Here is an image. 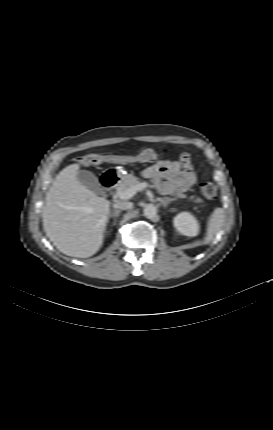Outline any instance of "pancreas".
Masks as SVG:
<instances>
[{"label":"pancreas","mask_w":273,"mask_h":430,"mask_svg":"<svg viewBox=\"0 0 273 430\" xmlns=\"http://www.w3.org/2000/svg\"><path fill=\"white\" fill-rule=\"evenodd\" d=\"M139 183H140V181L137 177L133 176L132 174H127L124 176L122 182L118 185L117 192L125 191L128 188L135 186ZM174 195L178 198H185L186 197V195L182 194V193H176ZM189 199L192 200L194 203H202L203 202V200L200 197H197L195 195L191 196Z\"/></svg>","instance_id":"cf45deb5"}]
</instances>
